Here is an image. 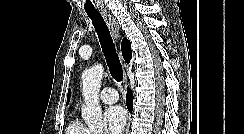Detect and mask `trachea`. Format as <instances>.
Returning <instances> with one entry per match:
<instances>
[{
	"label": "trachea",
	"mask_w": 244,
	"mask_h": 134,
	"mask_svg": "<svg viewBox=\"0 0 244 134\" xmlns=\"http://www.w3.org/2000/svg\"><path fill=\"white\" fill-rule=\"evenodd\" d=\"M98 35L109 71L115 81H123V70L110 31L100 13H87Z\"/></svg>",
	"instance_id": "obj_1"
}]
</instances>
